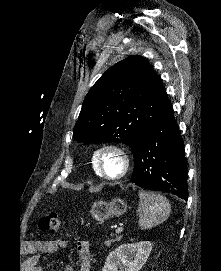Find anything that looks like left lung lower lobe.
<instances>
[{
  "mask_svg": "<svg viewBox=\"0 0 221 271\" xmlns=\"http://www.w3.org/2000/svg\"><path fill=\"white\" fill-rule=\"evenodd\" d=\"M131 148L135 160L132 183L188 199L187 161L173 109L149 125Z\"/></svg>",
  "mask_w": 221,
  "mask_h": 271,
  "instance_id": "left-lung-lower-lobe-1",
  "label": "left lung lower lobe"
}]
</instances>
